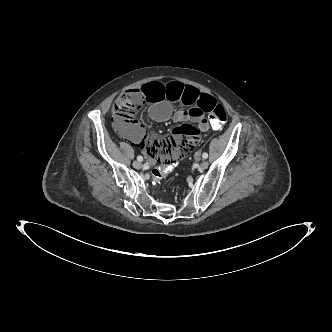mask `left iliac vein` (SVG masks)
Returning a JSON list of instances; mask_svg holds the SVG:
<instances>
[{
	"label": "left iliac vein",
	"instance_id": "obj_1",
	"mask_svg": "<svg viewBox=\"0 0 332 332\" xmlns=\"http://www.w3.org/2000/svg\"><path fill=\"white\" fill-rule=\"evenodd\" d=\"M209 166V162L206 160H203L199 165H198V169L200 170H204L207 169Z\"/></svg>",
	"mask_w": 332,
	"mask_h": 332
}]
</instances>
